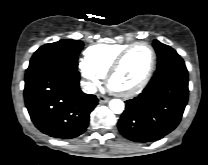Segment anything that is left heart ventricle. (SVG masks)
I'll return each mask as SVG.
<instances>
[{
  "label": "left heart ventricle",
  "instance_id": "obj_1",
  "mask_svg": "<svg viewBox=\"0 0 208 165\" xmlns=\"http://www.w3.org/2000/svg\"><path fill=\"white\" fill-rule=\"evenodd\" d=\"M151 61V51L146 46L136 47L125 59L116 73L113 83L119 88H130L139 83L146 74Z\"/></svg>",
  "mask_w": 208,
  "mask_h": 165
}]
</instances>
